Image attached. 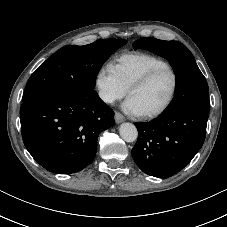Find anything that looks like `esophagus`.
I'll use <instances>...</instances> for the list:
<instances>
[{
  "mask_svg": "<svg viewBox=\"0 0 227 227\" xmlns=\"http://www.w3.org/2000/svg\"><path fill=\"white\" fill-rule=\"evenodd\" d=\"M123 121H125V117L121 113L115 112V122L121 123Z\"/></svg>",
  "mask_w": 227,
  "mask_h": 227,
  "instance_id": "esophagus-1",
  "label": "esophagus"
}]
</instances>
